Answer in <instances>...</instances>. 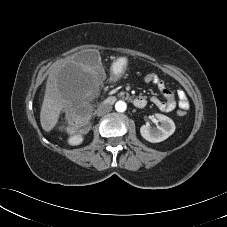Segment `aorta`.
Returning a JSON list of instances; mask_svg holds the SVG:
<instances>
[{"instance_id": "1", "label": "aorta", "mask_w": 227, "mask_h": 227, "mask_svg": "<svg viewBox=\"0 0 227 227\" xmlns=\"http://www.w3.org/2000/svg\"><path fill=\"white\" fill-rule=\"evenodd\" d=\"M115 109L118 112H124L127 109V104L124 101H117L115 104Z\"/></svg>"}]
</instances>
